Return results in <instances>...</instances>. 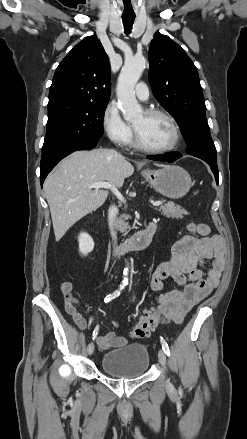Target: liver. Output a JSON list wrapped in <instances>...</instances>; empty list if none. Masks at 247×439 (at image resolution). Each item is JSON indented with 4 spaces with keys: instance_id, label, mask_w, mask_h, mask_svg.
<instances>
[{
    "instance_id": "6515ba94",
    "label": "liver",
    "mask_w": 247,
    "mask_h": 439,
    "mask_svg": "<svg viewBox=\"0 0 247 439\" xmlns=\"http://www.w3.org/2000/svg\"><path fill=\"white\" fill-rule=\"evenodd\" d=\"M133 172L127 159L112 149L76 151L66 157L49 174L43 186L55 240L59 241L78 220L106 201L109 192L89 189L90 184L108 182L120 188Z\"/></svg>"
}]
</instances>
